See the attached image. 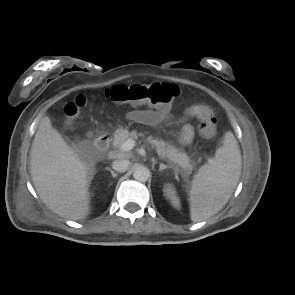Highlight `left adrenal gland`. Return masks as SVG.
Segmentation results:
<instances>
[{
	"mask_svg": "<svg viewBox=\"0 0 295 295\" xmlns=\"http://www.w3.org/2000/svg\"><path fill=\"white\" fill-rule=\"evenodd\" d=\"M170 168H172V166H170V165H165V164H163V163H160V165H159V171H160V172H162L163 170H166V169H170Z\"/></svg>",
	"mask_w": 295,
	"mask_h": 295,
	"instance_id": "a2214340",
	"label": "left adrenal gland"
}]
</instances>
